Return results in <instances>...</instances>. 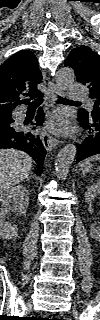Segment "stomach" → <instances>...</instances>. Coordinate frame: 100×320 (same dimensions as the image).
I'll return each mask as SVG.
<instances>
[{"label": "stomach", "mask_w": 100, "mask_h": 320, "mask_svg": "<svg viewBox=\"0 0 100 320\" xmlns=\"http://www.w3.org/2000/svg\"><path fill=\"white\" fill-rule=\"evenodd\" d=\"M91 168H92V164H90V163H88L86 165H82V167H81L83 174L90 172Z\"/></svg>", "instance_id": "obj_1"}]
</instances>
